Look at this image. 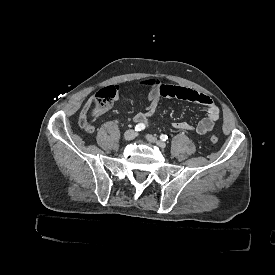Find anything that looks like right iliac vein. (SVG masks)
Masks as SVG:
<instances>
[{
  "instance_id": "1",
  "label": "right iliac vein",
  "mask_w": 275,
  "mask_h": 275,
  "mask_svg": "<svg viewBox=\"0 0 275 275\" xmlns=\"http://www.w3.org/2000/svg\"><path fill=\"white\" fill-rule=\"evenodd\" d=\"M137 133L135 130L129 129L124 133V140L131 141L136 137Z\"/></svg>"
}]
</instances>
